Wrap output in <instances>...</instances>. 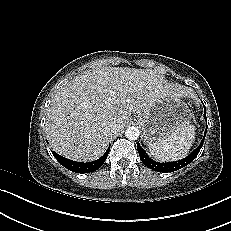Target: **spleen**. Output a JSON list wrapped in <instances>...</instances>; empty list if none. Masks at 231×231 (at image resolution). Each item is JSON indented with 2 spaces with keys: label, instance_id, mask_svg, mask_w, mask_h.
Instances as JSON below:
<instances>
[{
  "label": "spleen",
  "instance_id": "spleen-1",
  "mask_svg": "<svg viewBox=\"0 0 231 231\" xmlns=\"http://www.w3.org/2000/svg\"><path fill=\"white\" fill-rule=\"evenodd\" d=\"M195 127L184 125L167 138L148 145L150 154L159 161H175L185 158L195 139Z\"/></svg>",
  "mask_w": 231,
  "mask_h": 231
}]
</instances>
